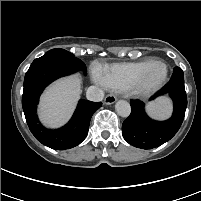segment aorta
I'll list each match as a JSON object with an SVG mask.
<instances>
[{"label":"aorta","mask_w":201,"mask_h":201,"mask_svg":"<svg viewBox=\"0 0 201 201\" xmlns=\"http://www.w3.org/2000/svg\"><path fill=\"white\" fill-rule=\"evenodd\" d=\"M115 110L121 117H128L131 113V106L125 100H119L115 104Z\"/></svg>","instance_id":"aorta-1"}]
</instances>
